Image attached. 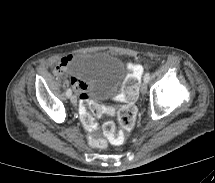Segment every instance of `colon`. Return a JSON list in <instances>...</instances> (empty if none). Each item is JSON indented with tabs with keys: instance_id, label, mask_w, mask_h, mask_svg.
Here are the masks:
<instances>
[{
	"instance_id": "colon-1",
	"label": "colon",
	"mask_w": 215,
	"mask_h": 183,
	"mask_svg": "<svg viewBox=\"0 0 215 183\" xmlns=\"http://www.w3.org/2000/svg\"><path fill=\"white\" fill-rule=\"evenodd\" d=\"M137 96L138 78L133 76L124 82V103L116 109L119 123L124 129L132 128L135 123L137 111L133 105V102L136 100ZM114 112L115 108L111 106H104L101 103L94 102L90 100L87 95L81 96L80 113L83 124L88 130L91 131V135L89 136V143L91 146L98 149H105L109 143L120 145L124 142V134L116 130V126L113 121L104 122L102 125L103 136L96 133V126L93 116H110L113 115Z\"/></svg>"
}]
</instances>
